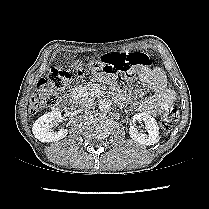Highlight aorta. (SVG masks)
Listing matches in <instances>:
<instances>
[{
    "instance_id": "aorta-1",
    "label": "aorta",
    "mask_w": 209,
    "mask_h": 209,
    "mask_svg": "<svg viewBox=\"0 0 209 209\" xmlns=\"http://www.w3.org/2000/svg\"><path fill=\"white\" fill-rule=\"evenodd\" d=\"M98 107L103 112H109L111 110V104L108 100L103 99L98 102Z\"/></svg>"
}]
</instances>
